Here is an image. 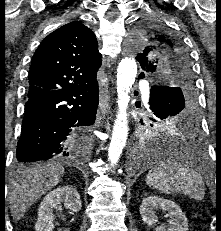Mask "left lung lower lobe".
Masks as SVG:
<instances>
[{"label": "left lung lower lobe", "mask_w": 221, "mask_h": 231, "mask_svg": "<svg viewBox=\"0 0 221 231\" xmlns=\"http://www.w3.org/2000/svg\"><path fill=\"white\" fill-rule=\"evenodd\" d=\"M141 78V77H140ZM171 92L161 86H152L149 104H156L164 100L165 96ZM170 100V97H168ZM199 124L196 120H188L177 126V130H171L169 133H163L159 139L152 142L149 149H133L132 158H139L142 161H153L163 154V151L157 148V144H165L176 151L184 152V157H195L197 147H199Z\"/></svg>", "instance_id": "0a47b994"}]
</instances>
